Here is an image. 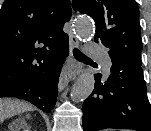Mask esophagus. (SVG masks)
<instances>
[{"label": "esophagus", "instance_id": "1", "mask_svg": "<svg viewBox=\"0 0 151 131\" xmlns=\"http://www.w3.org/2000/svg\"><path fill=\"white\" fill-rule=\"evenodd\" d=\"M69 41H70V55L60 75L59 84H58L60 91L66 87V85L69 83L70 80L76 78V75L80 68L72 55V50L78 47L79 45L78 39L72 32H70L69 34Z\"/></svg>", "mask_w": 151, "mask_h": 131}]
</instances>
